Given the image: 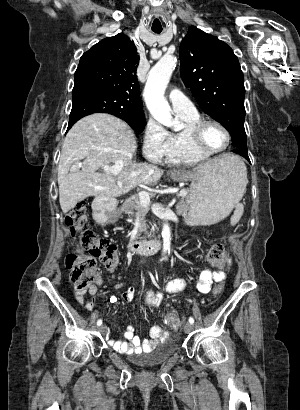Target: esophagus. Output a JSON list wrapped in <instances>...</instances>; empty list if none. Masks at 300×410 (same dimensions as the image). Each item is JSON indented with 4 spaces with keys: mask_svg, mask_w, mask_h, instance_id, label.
Here are the masks:
<instances>
[{
    "mask_svg": "<svg viewBox=\"0 0 300 410\" xmlns=\"http://www.w3.org/2000/svg\"><path fill=\"white\" fill-rule=\"evenodd\" d=\"M170 172H171V173H175V171H174V170H171Z\"/></svg>",
    "mask_w": 300,
    "mask_h": 410,
    "instance_id": "esophagus-1",
    "label": "esophagus"
}]
</instances>
